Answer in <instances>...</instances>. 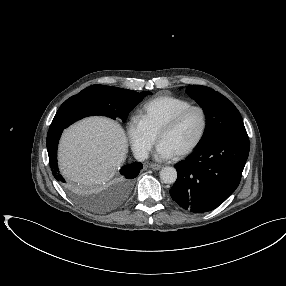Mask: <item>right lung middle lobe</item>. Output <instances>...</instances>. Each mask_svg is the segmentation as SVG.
<instances>
[{"instance_id":"right-lung-middle-lobe-1","label":"right lung middle lobe","mask_w":286,"mask_h":286,"mask_svg":"<svg viewBox=\"0 0 286 286\" xmlns=\"http://www.w3.org/2000/svg\"><path fill=\"white\" fill-rule=\"evenodd\" d=\"M149 94L152 93L148 91L138 93L123 88L92 85L67 99L60 106L52 122L66 128L77 120L93 115L106 116L114 120L119 117L124 122L129 112ZM131 184L128 189L124 190L120 183L122 199L129 193ZM92 208L98 207L92 205Z\"/></svg>"}]
</instances>
